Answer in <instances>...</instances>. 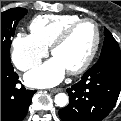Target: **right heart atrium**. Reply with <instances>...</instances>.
Segmentation results:
<instances>
[{"instance_id": "obj_1", "label": "right heart atrium", "mask_w": 121, "mask_h": 121, "mask_svg": "<svg viewBox=\"0 0 121 121\" xmlns=\"http://www.w3.org/2000/svg\"><path fill=\"white\" fill-rule=\"evenodd\" d=\"M48 55V48L32 34L19 33L11 42V59L21 71L27 72L36 67Z\"/></svg>"}]
</instances>
